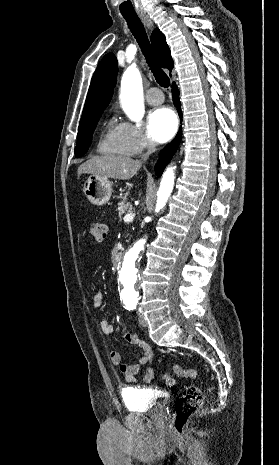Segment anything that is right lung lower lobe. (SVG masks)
<instances>
[{"label": "right lung lower lobe", "mask_w": 279, "mask_h": 465, "mask_svg": "<svg viewBox=\"0 0 279 465\" xmlns=\"http://www.w3.org/2000/svg\"><path fill=\"white\" fill-rule=\"evenodd\" d=\"M172 91H173L174 105L178 110L180 118H182L181 104H180V100H179V91H178L177 86H176L175 83H173V85H172ZM181 132L182 131H181V128H180L178 134L175 137V139L161 151L160 159L158 160V162L155 165V173H156V175H158V176L162 175L163 170L165 169V167L167 166V164L171 160L172 156L174 155V153L178 149L180 141H181Z\"/></svg>", "instance_id": "right-lung-lower-lobe-1"}]
</instances>
